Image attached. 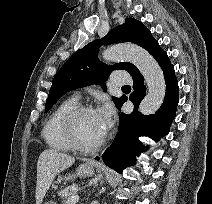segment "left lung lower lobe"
<instances>
[{"instance_id": "0a47b994", "label": "left lung lower lobe", "mask_w": 212, "mask_h": 204, "mask_svg": "<svg viewBox=\"0 0 212 204\" xmlns=\"http://www.w3.org/2000/svg\"><path fill=\"white\" fill-rule=\"evenodd\" d=\"M162 68L166 81L165 99L159 111L155 115H143L138 112V106L146 93L143 85L144 78L137 72L129 99L134 103V111L130 115L124 113L120 116V130L112 145L103 153L102 159L105 164L117 172H122L126 167L133 165L135 156L144 151L140 136H149L155 141L169 132L171 122L175 117L178 104V82L175 77L174 67L167 54L162 49L153 56ZM127 101L124 97L118 108ZM99 160V157H96Z\"/></svg>"}]
</instances>
